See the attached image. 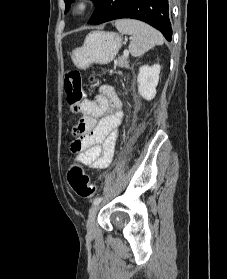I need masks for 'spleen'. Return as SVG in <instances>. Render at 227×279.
Segmentation results:
<instances>
[{
    "instance_id": "1",
    "label": "spleen",
    "mask_w": 227,
    "mask_h": 279,
    "mask_svg": "<svg viewBox=\"0 0 227 279\" xmlns=\"http://www.w3.org/2000/svg\"><path fill=\"white\" fill-rule=\"evenodd\" d=\"M114 26L120 33L132 35L129 51L134 57H139L155 45L164 43L159 31L141 21L121 19L115 21Z\"/></svg>"
}]
</instances>
